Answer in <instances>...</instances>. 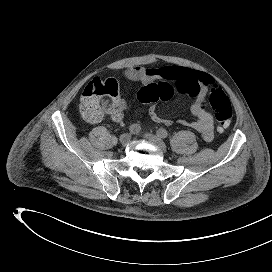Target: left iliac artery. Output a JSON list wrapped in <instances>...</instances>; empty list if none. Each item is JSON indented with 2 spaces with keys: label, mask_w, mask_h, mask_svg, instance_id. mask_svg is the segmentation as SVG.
<instances>
[{
  "label": "left iliac artery",
  "mask_w": 272,
  "mask_h": 272,
  "mask_svg": "<svg viewBox=\"0 0 272 272\" xmlns=\"http://www.w3.org/2000/svg\"><path fill=\"white\" fill-rule=\"evenodd\" d=\"M157 136L160 137V138H167L168 137V132L163 129V128H160L157 130Z\"/></svg>",
  "instance_id": "1"
}]
</instances>
